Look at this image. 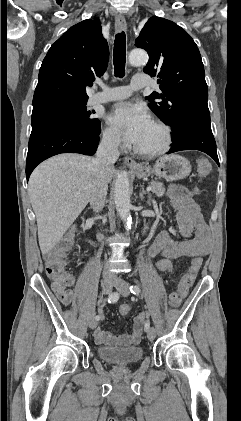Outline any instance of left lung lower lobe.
<instances>
[{
	"label": "left lung lower lobe",
	"instance_id": "left-lung-lower-lobe-1",
	"mask_svg": "<svg viewBox=\"0 0 241 421\" xmlns=\"http://www.w3.org/2000/svg\"><path fill=\"white\" fill-rule=\"evenodd\" d=\"M173 145L168 153L181 150H199L211 156L219 165L216 143L212 134L209 114H199L193 117L183 131L172 138Z\"/></svg>",
	"mask_w": 241,
	"mask_h": 421
}]
</instances>
